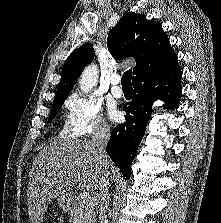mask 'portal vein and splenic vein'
I'll use <instances>...</instances> for the list:
<instances>
[{"label": "portal vein and splenic vein", "mask_w": 221, "mask_h": 223, "mask_svg": "<svg viewBox=\"0 0 221 223\" xmlns=\"http://www.w3.org/2000/svg\"><path fill=\"white\" fill-rule=\"evenodd\" d=\"M85 203H86L87 205H92V204L94 203V198L91 197V196L86 197V198H85Z\"/></svg>", "instance_id": "18ae733b"}]
</instances>
